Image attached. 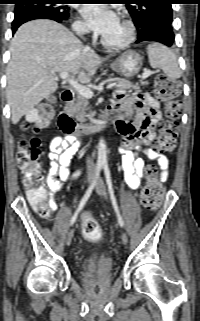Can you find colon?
<instances>
[{
    "instance_id": "1",
    "label": "colon",
    "mask_w": 200,
    "mask_h": 321,
    "mask_svg": "<svg viewBox=\"0 0 200 321\" xmlns=\"http://www.w3.org/2000/svg\"><path fill=\"white\" fill-rule=\"evenodd\" d=\"M154 91L155 95L164 102L167 115V119L159 127L156 148L162 153H169L175 148L178 132L180 102L176 98L179 95V84L167 75L160 74L155 79ZM54 106V99L49 98L44 101L37 110L30 113L24 130L30 129L32 133H37L46 127L54 116ZM40 147L41 141L38 137L35 135L25 136L19 143L16 162L30 204L40 216L47 218L52 211L45 202V191L39 185L42 157ZM146 172L148 182L141 192L140 201L145 209L154 211L162 201L164 187L154 168L149 167ZM82 234L91 242L99 241L102 236L99 224L89 215H84L82 218Z\"/></svg>"
}]
</instances>
